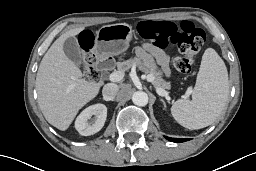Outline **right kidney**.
<instances>
[{"mask_svg": "<svg viewBox=\"0 0 256 171\" xmlns=\"http://www.w3.org/2000/svg\"><path fill=\"white\" fill-rule=\"evenodd\" d=\"M96 116L94 122L88 120ZM107 117V107L104 104H95L84 109L75 121V128L82 136H89L102 129Z\"/></svg>", "mask_w": 256, "mask_h": 171, "instance_id": "obj_1", "label": "right kidney"}]
</instances>
